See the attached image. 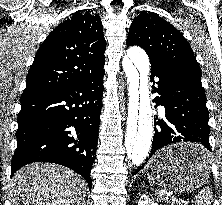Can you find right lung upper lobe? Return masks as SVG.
Instances as JSON below:
<instances>
[{
    "mask_svg": "<svg viewBox=\"0 0 222 205\" xmlns=\"http://www.w3.org/2000/svg\"><path fill=\"white\" fill-rule=\"evenodd\" d=\"M105 47L100 17L76 11L40 46L23 93L72 86L104 72Z\"/></svg>",
    "mask_w": 222,
    "mask_h": 205,
    "instance_id": "1",
    "label": "right lung upper lobe"
}]
</instances>
